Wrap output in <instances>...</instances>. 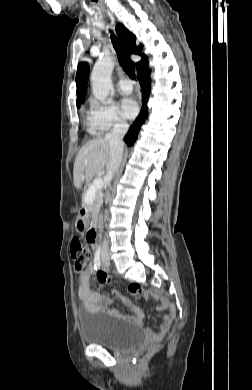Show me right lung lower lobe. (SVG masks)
Wrapping results in <instances>:
<instances>
[{
	"instance_id": "1",
	"label": "right lung lower lobe",
	"mask_w": 252,
	"mask_h": 390,
	"mask_svg": "<svg viewBox=\"0 0 252 390\" xmlns=\"http://www.w3.org/2000/svg\"><path fill=\"white\" fill-rule=\"evenodd\" d=\"M150 69L148 66L142 68L137 73V78L140 82L141 88H142V108L141 111L136 118V120L133 122V124L130 126L127 134L124 137V141L129 145H133L134 142L138 138V134L140 131V127L145 123V120L148 118V107L147 102L149 99V93H150Z\"/></svg>"
}]
</instances>
